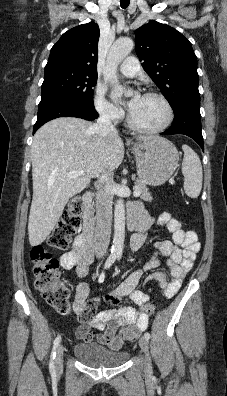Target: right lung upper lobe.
<instances>
[{
  "label": "right lung upper lobe",
  "mask_w": 227,
  "mask_h": 396,
  "mask_svg": "<svg viewBox=\"0 0 227 396\" xmlns=\"http://www.w3.org/2000/svg\"><path fill=\"white\" fill-rule=\"evenodd\" d=\"M99 35L95 22L68 30L52 47L45 71L69 70L97 75Z\"/></svg>",
  "instance_id": "cb5924a9"
}]
</instances>
